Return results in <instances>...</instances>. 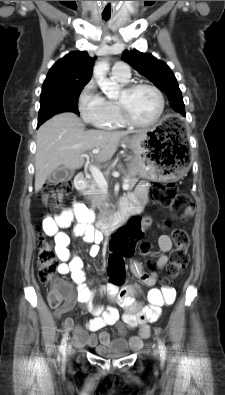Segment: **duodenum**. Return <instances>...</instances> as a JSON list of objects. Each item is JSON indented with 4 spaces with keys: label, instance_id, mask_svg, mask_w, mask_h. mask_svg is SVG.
<instances>
[{
    "label": "duodenum",
    "instance_id": "obj_1",
    "mask_svg": "<svg viewBox=\"0 0 225 395\" xmlns=\"http://www.w3.org/2000/svg\"><path fill=\"white\" fill-rule=\"evenodd\" d=\"M75 187L78 191L83 192L88 187V181L84 174L80 173L75 178ZM128 214L125 210H120L111 214L110 216L101 219L98 222V228L101 233L105 235L111 234L116 228L122 227L123 223L126 222Z\"/></svg>",
    "mask_w": 225,
    "mask_h": 395
}]
</instances>
